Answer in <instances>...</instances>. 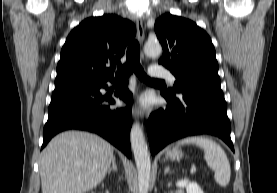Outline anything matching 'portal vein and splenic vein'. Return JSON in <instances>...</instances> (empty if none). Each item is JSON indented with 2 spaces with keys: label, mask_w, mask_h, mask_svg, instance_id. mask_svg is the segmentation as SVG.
<instances>
[{
  "label": "portal vein and splenic vein",
  "mask_w": 277,
  "mask_h": 193,
  "mask_svg": "<svg viewBox=\"0 0 277 193\" xmlns=\"http://www.w3.org/2000/svg\"><path fill=\"white\" fill-rule=\"evenodd\" d=\"M195 172H196V167L193 166V167L191 168V173H195Z\"/></svg>",
  "instance_id": "obj_1"
}]
</instances>
